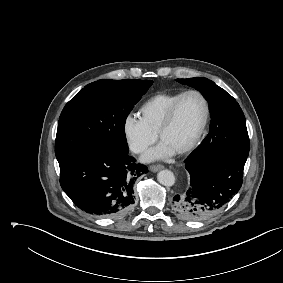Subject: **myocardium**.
Listing matches in <instances>:
<instances>
[{"label":"myocardium","instance_id":"obj_1","mask_svg":"<svg viewBox=\"0 0 283 283\" xmlns=\"http://www.w3.org/2000/svg\"><path fill=\"white\" fill-rule=\"evenodd\" d=\"M189 95H197L198 97L201 98V100H202V102L204 104V116H203V120H202L201 126H200L196 136L192 140V142L189 145H187L185 148H183L182 150L177 152L180 155L187 154V153L193 151L200 144V142H201V140L203 138V135H204V133H205V131L207 129V126H208V123H209V120H210V113H211V111H210L209 100H208V98L206 97V95L204 93H202L201 91L196 90V89H191V90L184 91L175 100V102L171 105V107L169 108V110H168V112L166 114V117H165V119H164L162 125L160 126V128L158 130V133H157L158 138L160 140H162L163 134L172 126L181 102L183 101V99L185 97H187Z\"/></svg>","mask_w":283,"mask_h":283}]
</instances>
